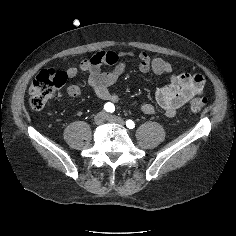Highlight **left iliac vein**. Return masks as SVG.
<instances>
[{
    "instance_id": "obj_1",
    "label": "left iliac vein",
    "mask_w": 236,
    "mask_h": 236,
    "mask_svg": "<svg viewBox=\"0 0 236 236\" xmlns=\"http://www.w3.org/2000/svg\"><path fill=\"white\" fill-rule=\"evenodd\" d=\"M106 119L110 123H115V124H118L120 126H124L125 125L124 120L122 118L118 117V116H115V115H108L106 117Z\"/></svg>"
}]
</instances>
